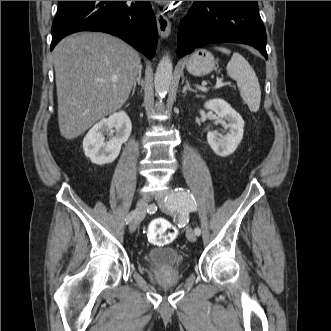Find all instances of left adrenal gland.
Wrapping results in <instances>:
<instances>
[{"instance_id":"1","label":"left adrenal gland","mask_w":331,"mask_h":331,"mask_svg":"<svg viewBox=\"0 0 331 331\" xmlns=\"http://www.w3.org/2000/svg\"><path fill=\"white\" fill-rule=\"evenodd\" d=\"M187 90L196 92V90L190 87L188 80H186V85L183 87L182 93L185 94Z\"/></svg>"}]
</instances>
